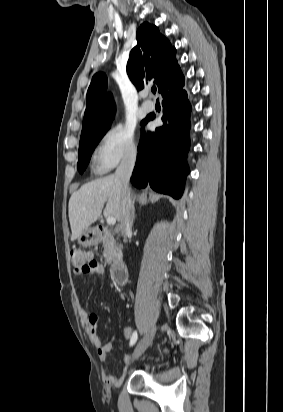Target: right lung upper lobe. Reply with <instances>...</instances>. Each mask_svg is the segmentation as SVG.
I'll list each match as a JSON object with an SVG mask.
<instances>
[{
	"mask_svg": "<svg viewBox=\"0 0 283 412\" xmlns=\"http://www.w3.org/2000/svg\"><path fill=\"white\" fill-rule=\"evenodd\" d=\"M175 54V47L156 26L143 23L137 30V45L127 63V74L137 90L153 82L162 93L168 86L174 87L184 79ZM106 89V75L95 74L87 91L81 138L110 128L115 103L112 95L105 93Z\"/></svg>",
	"mask_w": 283,
	"mask_h": 412,
	"instance_id": "right-lung-upper-lobe-1",
	"label": "right lung upper lobe"
}]
</instances>
